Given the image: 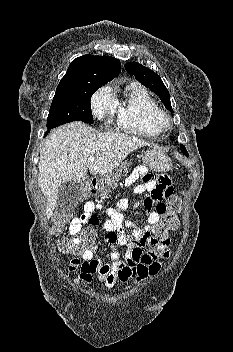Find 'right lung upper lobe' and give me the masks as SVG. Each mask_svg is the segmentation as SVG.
I'll use <instances>...</instances> for the list:
<instances>
[{"mask_svg":"<svg viewBox=\"0 0 233 352\" xmlns=\"http://www.w3.org/2000/svg\"><path fill=\"white\" fill-rule=\"evenodd\" d=\"M118 59L106 56L84 55L76 58L57 86V93L72 92L88 85L102 86L120 74Z\"/></svg>","mask_w":233,"mask_h":352,"instance_id":"right-lung-upper-lobe-1","label":"right lung upper lobe"}]
</instances>
